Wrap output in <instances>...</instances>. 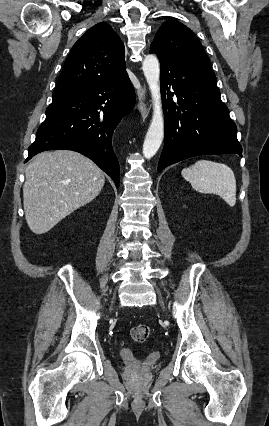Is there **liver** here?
<instances>
[{"mask_svg": "<svg viewBox=\"0 0 269 426\" xmlns=\"http://www.w3.org/2000/svg\"><path fill=\"white\" fill-rule=\"evenodd\" d=\"M25 219L35 234L91 202L102 190L104 172L80 153L57 150L38 154L26 168Z\"/></svg>", "mask_w": 269, "mask_h": 426, "instance_id": "liver-1", "label": "liver"}]
</instances>
